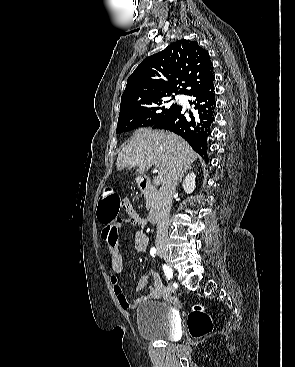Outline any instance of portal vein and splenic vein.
Here are the masks:
<instances>
[{
	"mask_svg": "<svg viewBox=\"0 0 295 367\" xmlns=\"http://www.w3.org/2000/svg\"><path fill=\"white\" fill-rule=\"evenodd\" d=\"M163 181L162 176L158 175L154 178V184L159 185Z\"/></svg>",
	"mask_w": 295,
	"mask_h": 367,
	"instance_id": "portal-vein-and-splenic-vein-1",
	"label": "portal vein and splenic vein"
}]
</instances>
